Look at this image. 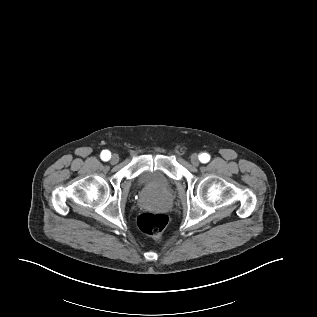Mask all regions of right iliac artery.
Wrapping results in <instances>:
<instances>
[{
    "label": "right iliac artery",
    "mask_w": 317,
    "mask_h": 317,
    "mask_svg": "<svg viewBox=\"0 0 317 317\" xmlns=\"http://www.w3.org/2000/svg\"><path fill=\"white\" fill-rule=\"evenodd\" d=\"M100 156L103 161H108L111 158V153L108 150H103Z\"/></svg>",
    "instance_id": "82829eb1"
}]
</instances>
